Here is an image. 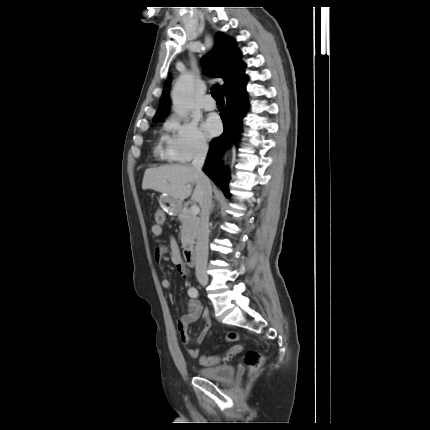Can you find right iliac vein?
Listing matches in <instances>:
<instances>
[{
    "instance_id": "right-iliac-vein-1",
    "label": "right iliac vein",
    "mask_w": 430,
    "mask_h": 430,
    "mask_svg": "<svg viewBox=\"0 0 430 430\" xmlns=\"http://www.w3.org/2000/svg\"><path fill=\"white\" fill-rule=\"evenodd\" d=\"M198 281H199V283H200L202 286H206V285H207V283H208V278H207V277H200V278L198 279Z\"/></svg>"
}]
</instances>
